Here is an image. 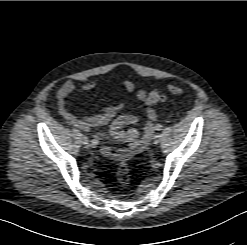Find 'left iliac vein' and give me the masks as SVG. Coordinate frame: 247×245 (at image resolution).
<instances>
[{
    "label": "left iliac vein",
    "mask_w": 247,
    "mask_h": 245,
    "mask_svg": "<svg viewBox=\"0 0 247 245\" xmlns=\"http://www.w3.org/2000/svg\"><path fill=\"white\" fill-rule=\"evenodd\" d=\"M160 142V135L159 134H157V135H155V137H154V144H158Z\"/></svg>",
    "instance_id": "obj_1"
}]
</instances>
